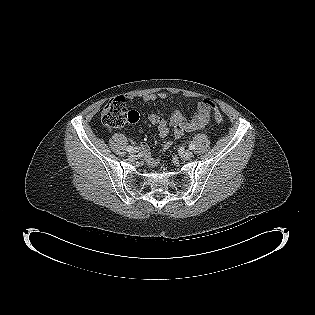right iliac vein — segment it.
Instances as JSON below:
<instances>
[{"label": "right iliac vein", "mask_w": 315, "mask_h": 315, "mask_svg": "<svg viewBox=\"0 0 315 315\" xmlns=\"http://www.w3.org/2000/svg\"><path fill=\"white\" fill-rule=\"evenodd\" d=\"M137 152H138L137 149L133 150V151H132V154H131V157H135V155L137 154Z\"/></svg>", "instance_id": "right-iliac-vein-1"}]
</instances>
